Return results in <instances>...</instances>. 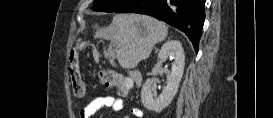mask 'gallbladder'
<instances>
[{
  "mask_svg": "<svg viewBox=\"0 0 273 118\" xmlns=\"http://www.w3.org/2000/svg\"><path fill=\"white\" fill-rule=\"evenodd\" d=\"M112 52H113L112 50H108V53H109L110 55H112Z\"/></svg>",
  "mask_w": 273,
  "mask_h": 118,
  "instance_id": "obj_1",
  "label": "gallbladder"
}]
</instances>
